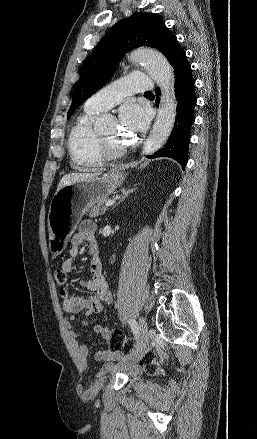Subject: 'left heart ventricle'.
Returning <instances> with one entry per match:
<instances>
[{
    "mask_svg": "<svg viewBox=\"0 0 257 439\" xmlns=\"http://www.w3.org/2000/svg\"><path fill=\"white\" fill-rule=\"evenodd\" d=\"M101 134L112 146L122 145L121 140L118 137V127L116 125L110 126L106 130L102 131Z\"/></svg>",
    "mask_w": 257,
    "mask_h": 439,
    "instance_id": "left-heart-ventricle-1",
    "label": "left heart ventricle"
}]
</instances>
